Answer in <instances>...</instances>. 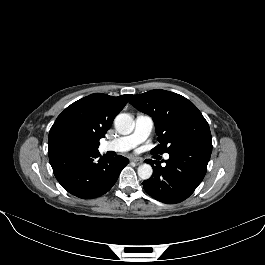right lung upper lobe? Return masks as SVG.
I'll return each instance as SVG.
<instances>
[{"instance_id": "right-lung-upper-lobe-1", "label": "right lung upper lobe", "mask_w": 265, "mask_h": 265, "mask_svg": "<svg viewBox=\"0 0 265 265\" xmlns=\"http://www.w3.org/2000/svg\"><path fill=\"white\" fill-rule=\"evenodd\" d=\"M130 97V94L112 97L95 93L72 103L57 117L50 129L49 156L76 151L78 145L86 150H96L99 140L105 136Z\"/></svg>"}]
</instances>
